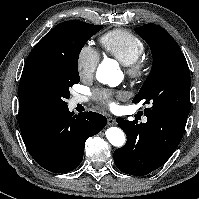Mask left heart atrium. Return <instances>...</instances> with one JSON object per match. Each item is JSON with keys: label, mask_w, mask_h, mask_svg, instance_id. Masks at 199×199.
<instances>
[{"label": "left heart atrium", "mask_w": 199, "mask_h": 199, "mask_svg": "<svg viewBox=\"0 0 199 199\" xmlns=\"http://www.w3.org/2000/svg\"><path fill=\"white\" fill-rule=\"evenodd\" d=\"M103 100L106 104H108L110 107L114 108L115 107V103L114 101H112L108 95H104L103 96Z\"/></svg>", "instance_id": "left-heart-atrium-1"}]
</instances>
